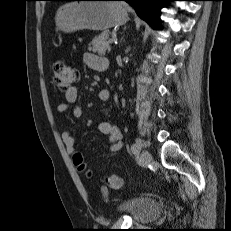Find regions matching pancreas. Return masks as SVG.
I'll use <instances>...</instances> for the list:
<instances>
[{"label":"pancreas","mask_w":231,"mask_h":231,"mask_svg":"<svg viewBox=\"0 0 231 231\" xmlns=\"http://www.w3.org/2000/svg\"><path fill=\"white\" fill-rule=\"evenodd\" d=\"M110 33L108 31H104L99 36L95 37L90 43L89 50L98 53L99 55H105L106 51H110L111 47L108 41Z\"/></svg>","instance_id":"obj_1"}]
</instances>
